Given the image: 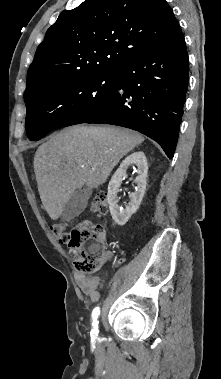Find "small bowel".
Masks as SVG:
<instances>
[{
	"instance_id": "small-bowel-1",
	"label": "small bowel",
	"mask_w": 221,
	"mask_h": 379,
	"mask_svg": "<svg viewBox=\"0 0 221 379\" xmlns=\"http://www.w3.org/2000/svg\"><path fill=\"white\" fill-rule=\"evenodd\" d=\"M112 256L109 250H105L100 265L106 264ZM75 280L77 285L81 288L82 292L89 297L93 302L97 301L100 297V289L103 285L102 279L95 275L76 273Z\"/></svg>"
}]
</instances>
